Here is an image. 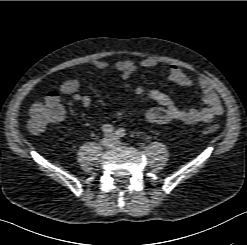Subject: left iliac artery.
Segmentation results:
<instances>
[{
    "instance_id": "44dca946",
    "label": "left iliac artery",
    "mask_w": 247,
    "mask_h": 245,
    "mask_svg": "<svg viewBox=\"0 0 247 245\" xmlns=\"http://www.w3.org/2000/svg\"><path fill=\"white\" fill-rule=\"evenodd\" d=\"M115 134L118 136V137H124L125 136V130L123 128H119L115 131Z\"/></svg>"
}]
</instances>
